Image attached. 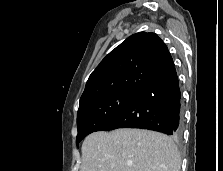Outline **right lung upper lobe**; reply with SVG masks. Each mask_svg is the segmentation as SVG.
<instances>
[{"mask_svg":"<svg viewBox=\"0 0 223 171\" xmlns=\"http://www.w3.org/2000/svg\"><path fill=\"white\" fill-rule=\"evenodd\" d=\"M173 67L167 46L155 33H136L111 51L91 73L79 107L111 93H139Z\"/></svg>","mask_w":223,"mask_h":171,"instance_id":"obj_1","label":"right lung upper lobe"}]
</instances>
